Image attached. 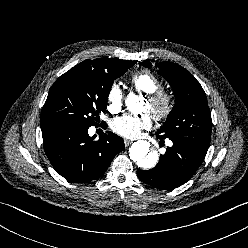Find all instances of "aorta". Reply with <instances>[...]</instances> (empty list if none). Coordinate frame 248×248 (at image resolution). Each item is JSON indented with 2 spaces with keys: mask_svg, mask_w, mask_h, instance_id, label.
<instances>
[{
  "mask_svg": "<svg viewBox=\"0 0 248 248\" xmlns=\"http://www.w3.org/2000/svg\"><path fill=\"white\" fill-rule=\"evenodd\" d=\"M140 97L136 95H128L125 104L129 111H137L140 104ZM150 143L145 140L134 142L129 149V156L137 165L143 169H151L158 162V154L155 151H150Z\"/></svg>",
  "mask_w": 248,
  "mask_h": 248,
  "instance_id": "aorta-1",
  "label": "aorta"
}]
</instances>
